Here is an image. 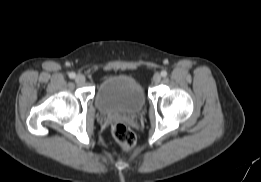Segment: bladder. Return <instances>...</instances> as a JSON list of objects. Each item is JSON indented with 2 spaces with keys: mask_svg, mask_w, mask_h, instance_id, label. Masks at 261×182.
Here are the masks:
<instances>
[{
  "mask_svg": "<svg viewBox=\"0 0 261 182\" xmlns=\"http://www.w3.org/2000/svg\"><path fill=\"white\" fill-rule=\"evenodd\" d=\"M141 85L127 75H111L98 86L95 103L99 111L106 115H133L144 106Z\"/></svg>",
  "mask_w": 261,
  "mask_h": 182,
  "instance_id": "31cf9c89",
  "label": "bladder"
}]
</instances>
